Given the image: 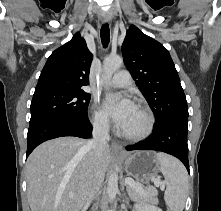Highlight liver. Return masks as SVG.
Listing matches in <instances>:
<instances>
[{
	"label": "liver",
	"instance_id": "liver-1",
	"mask_svg": "<svg viewBox=\"0 0 221 211\" xmlns=\"http://www.w3.org/2000/svg\"><path fill=\"white\" fill-rule=\"evenodd\" d=\"M106 148L100 164L111 161ZM89 141L60 137L40 144L26 163L27 196L31 211H81L87 203L95 171Z\"/></svg>",
	"mask_w": 221,
	"mask_h": 211
}]
</instances>
